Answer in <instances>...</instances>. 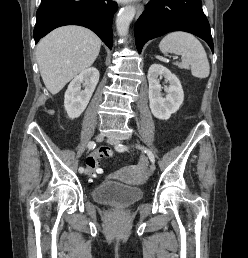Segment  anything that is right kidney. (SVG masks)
I'll return each instance as SVG.
<instances>
[{
	"mask_svg": "<svg viewBox=\"0 0 248 258\" xmlns=\"http://www.w3.org/2000/svg\"><path fill=\"white\" fill-rule=\"evenodd\" d=\"M98 81L99 71L95 67L85 69L71 81L64 96V108L69 118H77L83 113ZM81 85L84 90H81Z\"/></svg>",
	"mask_w": 248,
	"mask_h": 258,
	"instance_id": "right-kidney-1",
	"label": "right kidney"
}]
</instances>
